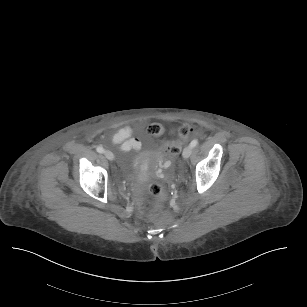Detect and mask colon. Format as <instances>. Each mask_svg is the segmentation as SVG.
I'll list each match as a JSON object with an SVG mask.
<instances>
[{
    "instance_id": "obj_1",
    "label": "colon",
    "mask_w": 307,
    "mask_h": 307,
    "mask_svg": "<svg viewBox=\"0 0 307 307\" xmlns=\"http://www.w3.org/2000/svg\"><path fill=\"white\" fill-rule=\"evenodd\" d=\"M194 131V128L192 126L183 125L179 128L178 134L181 137L179 141H177L175 144L171 142H164L163 143V149L167 153H176L179 154L180 150L179 148L182 146V144H185L190 138L192 133ZM148 132L150 134L159 135L162 133V127L158 124H153L148 128ZM151 195L155 199H162L166 195V188L157 182L151 183L150 186Z\"/></svg>"
}]
</instances>
